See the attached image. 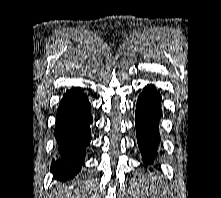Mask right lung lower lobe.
I'll return each mask as SVG.
<instances>
[{
	"label": "right lung lower lobe",
	"instance_id": "obj_1",
	"mask_svg": "<svg viewBox=\"0 0 221 198\" xmlns=\"http://www.w3.org/2000/svg\"><path fill=\"white\" fill-rule=\"evenodd\" d=\"M91 123V105L87 96L79 88L68 90L57 110L55 138L61 158L52 162L55 179L67 181L80 171L85 149L91 140Z\"/></svg>",
	"mask_w": 221,
	"mask_h": 198
}]
</instances>
